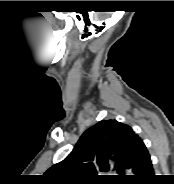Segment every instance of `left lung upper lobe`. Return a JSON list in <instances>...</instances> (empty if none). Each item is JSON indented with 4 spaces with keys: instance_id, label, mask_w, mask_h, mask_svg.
I'll return each mask as SVG.
<instances>
[{
    "instance_id": "1",
    "label": "left lung upper lobe",
    "mask_w": 174,
    "mask_h": 184,
    "mask_svg": "<svg viewBox=\"0 0 174 184\" xmlns=\"http://www.w3.org/2000/svg\"><path fill=\"white\" fill-rule=\"evenodd\" d=\"M141 138L132 128L116 120H102L87 129L73 151L60 163L52 166L45 174L55 184H95L101 172L110 169L108 159L118 162L119 176L124 179L122 168Z\"/></svg>"
}]
</instances>
